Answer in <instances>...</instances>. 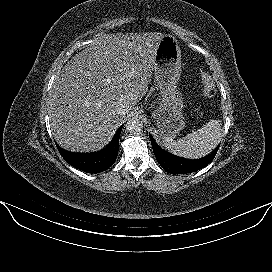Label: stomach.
<instances>
[{
  "label": "stomach",
  "mask_w": 272,
  "mask_h": 272,
  "mask_svg": "<svg viewBox=\"0 0 272 272\" xmlns=\"http://www.w3.org/2000/svg\"><path fill=\"white\" fill-rule=\"evenodd\" d=\"M155 79L160 90L152 113L161 137L174 136L185 127L183 96L177 89L181 75V50L175 36L165 34L155 54Z\"/></svg>",
  "instance_id": "obj_1"
}]
</instances>
